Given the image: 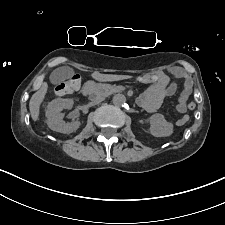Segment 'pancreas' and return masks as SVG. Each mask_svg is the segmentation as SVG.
<instances>
[{
  "instance_id": "1",
  "label": "pancreas",
  "mask_w": 225,
  "mask_h": 225,
  "mask_svg": "<svg viewBox=\"0 0 225 225\" xmlns=\"http://www.w3.org/2000/svg\"><path fill=\"white\" fill-rule=\"evenodd\" d=\"M97 88L101 90L105 95L119 92L125 89L123 86H116V85H110V84H98Z\"/></svg>"
}]
</instances>
